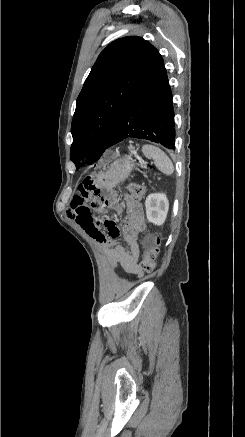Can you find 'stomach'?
<instances>
[{
	"mask_svg": "<svg viewBox=\"0 0 245 437\" xmlns=\"http://www.w3.org/2000/svg\"><path fill=\"white\" fill-rule=\"evenodd\" d=\"M133 166L134 163L131 157L121 158L110 166L106 174L97 176L96 181L113 187L130 175Z\"/></svg>",
	"mask_w": 245,
	"mask_h": 437,
	"instance_id": "stomach-1",
	"label": "stomach"
}]
</instances>
